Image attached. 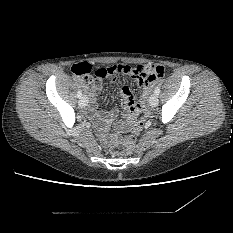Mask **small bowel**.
I'll use <instances>...</instances> for the list:
<instances>
[{
	"label": "small bowel",
	"mask_w": 233,
	"mask_h": 233,
	"mask_svg": "<svg viewBox=\"0 0 233 233\" xmlns=\"http://www.w3.org/2000/svg\"><path fill=\"white\" fill-rule=\"evenodd\" d=\"M101 79H90L89 82L83 86L84 90L91 96V107L89 109L90 116L96 120L100 127L98 128V134L100 141L103 146H109L117 137L129 130L133 132H138V124L136 120V115L129 111L132 105H135L131 89L128 85H125L121 89V95L125 101V112L126 120L118 122L115 125L114 132L111 134L105 133V126L109 124L114 118L117 117L119 111L118 109H111L109 111H102L99 108V104L95 99V96L102 89ZM139 85L143 90V95L145 96L149 89L154 85L151 82H143L138 80Z\"/></svg>",
	"instance_id": "1"
}]
</instances>
